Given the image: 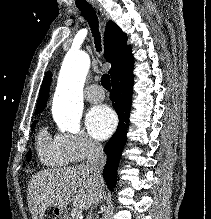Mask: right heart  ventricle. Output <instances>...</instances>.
Masks as SVG:
<instances>
[{"label": "right heart ventricle", "instance_id": "right-heart-ventricle-1", "mask_svg": "<svg viewBox=\"0 0 211 219\" xmlns=\"http://www.w3.org/2000/svg\"><path fill=\"white\" fill-rule=\"evenodd\" d=\"M36 148L39 160L46 166H64L70 159L56 137H51L43 128L36 138Z\"/></svg>", "mask_w": 211, "mask_h": 219}]
</instances>
